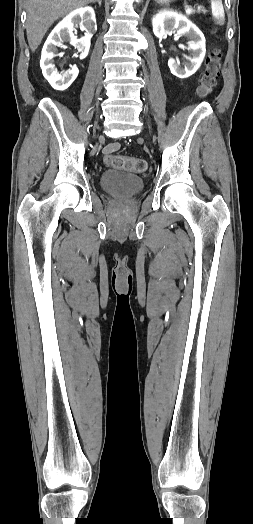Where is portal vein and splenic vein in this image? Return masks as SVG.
<instances>
[{
    "label": "portal vein and splenic vein",
    "instance_id": "18ae733b",
    "mask_svg": "<svg viewBox=\"0 0 253 524\" xmlns=\"http://www.w3.org/2000/svg\"><path fill=\"white\" fill-rule=\"evenodd\" d=\"M193 11H194V10H193L190 6L187 5V6L185 7V13H186V14H191Z\"/></svg>",
    "mask_w": 253,
    "mask_h": 524
}]
</instances>
